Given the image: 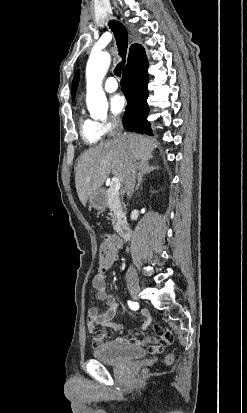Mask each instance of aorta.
I'll return each mask as SVG.
<instances>
[{"label":"aorta","instance_id":"aorta-1","mask_svg":"<svg viewBox=\"0 0 247 413\" xmlns=\"http://www.w3.org/2000/svg\"><path fill=\"white\" fill-rule=\"evenodd\" d=\"M110 55L106 52L91 53L86 66V103L94 119L105 118L108 111L102 81L110 65Z\"/></svg>","mask_w":247,"mask_h":413}]
</instances>
